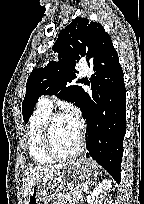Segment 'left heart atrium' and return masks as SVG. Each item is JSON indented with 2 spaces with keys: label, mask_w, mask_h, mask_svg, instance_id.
<instances>
[{
  "label": "left heart atrium",
  "mask_w": 144,
  "mask_h": 204,
  "mask_svg": "<svg viewBox=\"0 0 144 204\" xmlns=\"http://www.w3.org/2000/svg\"><path fill=\"white\" fill-rule=\"evenodd\" d=\"M66 117L76 126L77 129L81 128V119L75 108H70L66 113Z\"/></svg>",
  "instance_id": "39dd6f15"
}]
</instances>
